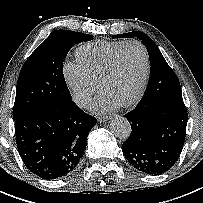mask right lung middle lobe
<instances>
[{"mask_svg":"<svg viewBox=\"0 0 203 203\" xmlns=\"http://www.w3.org/2000/svg\"><path fill=\"white\" fill-rule=\"evenodd\" d=\"M92 35L55 30L28 57L19 74L13 119L36 109L72 100L63 75V61L75 44Z\"/></svg>","mask_w":203,"mask_h":203,"instance_id":"1","label":"right lung middle lobe"}]
</instances>
